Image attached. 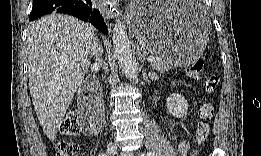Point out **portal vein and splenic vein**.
Wrapping results in <instances>:
<instances>
[{
    "label": "portal vein and splenic vein",
    "instance_id": "1",
    "mask_svg": "<svg viewBox=\"0 0 261 156\" xmlns=\"http://www.w3.org/2000/svg\"><path fill=\"white\" fill-rule=\"evenodd\" d=\"M153 60H155V57L153 55L147 57L148 62H152Z\"/></svg>",
    "mask_w": 261,
    "mask_h": 156
}]
</instances>
